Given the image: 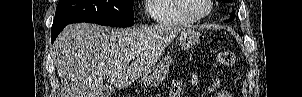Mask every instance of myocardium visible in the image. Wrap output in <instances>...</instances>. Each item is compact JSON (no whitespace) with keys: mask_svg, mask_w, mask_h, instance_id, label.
<instances>
[{"mask_svg":"<svg viewBox=\"0 0 302 97\" xmlns=\"http://www.w3.org/2000/svg\"><path fill=\"white\" fill-rule=\"evenodd\" d=\"M206 3H207V10L202 15H193L190 12H188L185 8L184 0H177V7H178L179 11L181 12V14L184 17H186L187 19L192 20V21H200V20L204 19L205 17H207L208 15H210V13L212 12L213 1L206 0Z\"/></svg>","mask_w":302,"mask_h":97,"instance_id":"obj_1","label":"myocardium"}]
</instances>
